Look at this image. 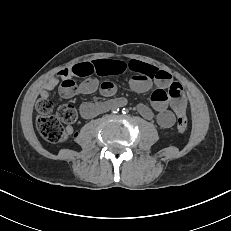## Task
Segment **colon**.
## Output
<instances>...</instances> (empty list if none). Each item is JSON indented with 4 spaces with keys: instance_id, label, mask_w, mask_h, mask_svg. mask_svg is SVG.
Listing matches in <instances>:
<instances>
[{
    "instance_id": "1",
    "label": "colon",
    "mask_w": 231,
    "mask_h": 231,
    "mask_svg": "<svg viewBox=\"0 0 231 231\" xmlns=\"http://www.w3.org/2000/svg\"><path fill=\"white\" fill-rule=\"evenodd\" d=\"M76 91V82L72 76L66 77L60 88L63 96L69 97ZM36 128L39 134L48 142L59 144L66 141L68 132L64 124H72L76 121V109L68 104L61 105L54 112L53 103L46 99L37 104ZM187 128L186 115L178 116L176 130L178 133L185 132Z\"/></svg>"
}]
</instances>
